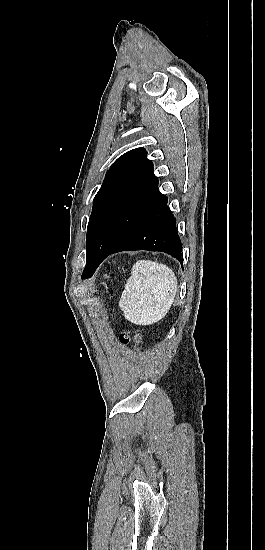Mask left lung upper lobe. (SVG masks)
<instances>
[{
  "label": "left lung upper lobe",
  "instance_id": "obj_1",
  "mask_svg": "<svg viewBox=\"0 0 265 550\" xmlns=\"http://www.w3.org/2000/svg\"><path fill=\"white\" fill-rule=\"evenodd\" d=\"M164 196L144 148L121 155L93 200L86 255L92 250L109 251Z\"/></svg>",
  "mask_w": 265,
  "mask_h": 550
}]
</instances>
